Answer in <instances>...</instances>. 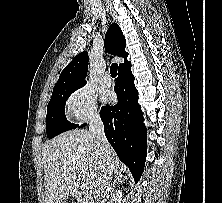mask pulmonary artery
I'll return each mask as SVG.
<instances>
[{
  "mask_svg": "<svg viewBox=\"0 0 222 203\" xmlns=\"http://www.w3.org/2000/svg\"><path fill=\"white\" fill-rule=\"evenodd\" d=\"M101 83L105 87H110L112 84V79L109 72H106L101 80Z\"/></svg>",
  "mask_w": 222,
  "mask_h": 203,
  "instance_id": "obj_1",
  "label": "pulmonary artery"
}]
</instances>
